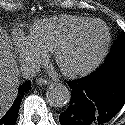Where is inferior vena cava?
<instances>
[{
    "label": "inferior vena cava",
    "mask_w": 125,
    "mask_h": 125,
    "mask_svg": "<svg viewBox=\"0 0 125 125\" xmlns=\"http://www.w3.org/2000/svg\"><path fill=\"white\" fill-rule=\"evenodd\" d=\"M39 67L35 63H29L22 69V75L24 78H32L36 76L39 71Z\"/></svg>",
    "instance_id": "602c4592"
}]
</instances>
